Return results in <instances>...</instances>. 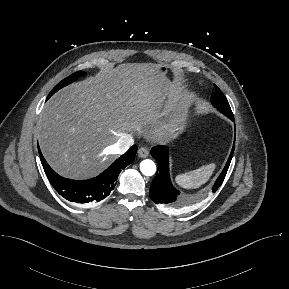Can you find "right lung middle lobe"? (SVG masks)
Masks as SVG:
<instances>
[{
	"instance_id": "1",
	"label": "right lung middle lobe",
	"mask_w": 289,
	"mask_h": 289,
	"mask_svg": "<svg viewBox=\"0 0 289 289\" xmlns=\"http://www.w3.org/2000/svg\"><path fill=\"white\" fill-rule=\"evenodd\" d=\"M85 73L82 71H78L73 73L72 75L68 76L67 78L63 79L61 82H59L50 92V94L48 95V98H50L55 92H57L59 89H61L62 87L74 82L75 80H77L79 77L84 76ZM47 98V99H48Z\"/></svg>"
}]
</instances>
